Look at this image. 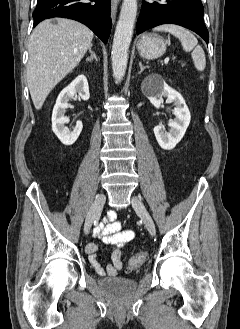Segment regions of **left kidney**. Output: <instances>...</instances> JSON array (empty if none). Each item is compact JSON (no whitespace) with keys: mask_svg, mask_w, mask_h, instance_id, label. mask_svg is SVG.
Instances as JSON below:
<instances>
[{"mask_svg":"<svg viewBox=\"0 0 240 329\" xmlns=\"http://www.w3.org/2000/svg\"><path fill=\"white\" fill-rule=\"evenodd\" d=\"M152 82L156 83L155 87L149 89L148 86H150ZM142 90L151 104L156 108H160L163 103V97L174 102L176 106L173 111L175 118L168 123L170 127L169 132H164L161 125L154 127V134L159 146L165 150L173 149L183 138L191 120V115L185 100L180 93L169 87L164 79L156 73L146 77L142 83Z\"/></svg>","mask_w":240,"mask_h":329,"instance_id":"left-kidney-1","label":"left kidney"}]
</instances>
